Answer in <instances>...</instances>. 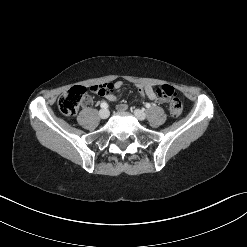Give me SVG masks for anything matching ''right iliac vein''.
Returning <instances> with one entry per match:
<instances>
[{
  "instance_id": "63e3f726",
  "label": "right iliac vein",
  "mask_w": 247,
  "mask_h": 247,
  "mask_svg": "<svg viewBox=\"0 0 247 247\" xmlns=\"http://www.w3.org/2000/svg\"><path fill=\"white\" fill-rule=\"evenodd\" d=\"M99 116H100V118H102V119H106V118L109 117V111H108L107 109H101V110L99 111Z\"/></svg>"
}]
</instances>
